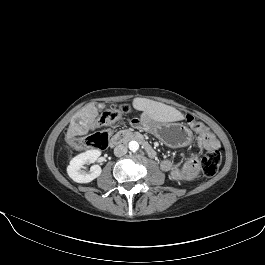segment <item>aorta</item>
<instances>
[{
  "instance_id": "aorta-1",
  "label": "aorta",
  "mask_w": 265,
  "mask_h": 265,
  "mask_svg": "<svg viewBox=\"0 0 265 265\" xmlns=\"http://www.w3.org/2000/svg\"><path fill=\"white\" fill-rule=\"evenodd\" d=\"M128 148L132 152H136L139 150V143L137 141H130L128 144Z\"/></svg>"
}]
</instances>
